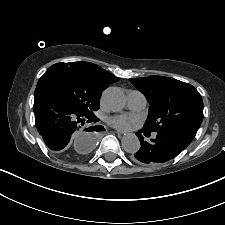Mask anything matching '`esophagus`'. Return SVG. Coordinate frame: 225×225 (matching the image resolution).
Instances as JSON below:
<instances>
[{
	"label": "esophagus",
	"mask_w": 225,
	"mask_h": 225,
	"mask_svg": "<svg viewBox=\"0 0 225 225\" xmlns=\"http://www.w3.org/2000/svg\"><path fill=\"white\" fill-rule=\"evenodd\" d=\"M116 133L119 135V136H123L125 133L123 131H120V130H117Z\"/></svg>",
	"instance_id": "esophagus-1"
}]
</instances>
